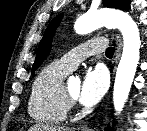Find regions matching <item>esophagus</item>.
Returning <instances> with one entry per match:
<instances>
[{
	"label": "esophagus",
	"mask_w": 147,
	"mask_h": 131,
	"mask_svg": "<svg viewBox=\"0 0 147 131\" xmlns=\"http://www.w3.org/2000/svg\"><path fill=\"white\" fill-rule=\"evenodd\" d=\"M115 41H116V50H115L114 62L115 64H117L120 59L121 48H122V39L119 34L115 35ZM87 131H92V130H87Z\"/></svg>",
	"instance_id": "esophagus-1"
}]
</instances>
